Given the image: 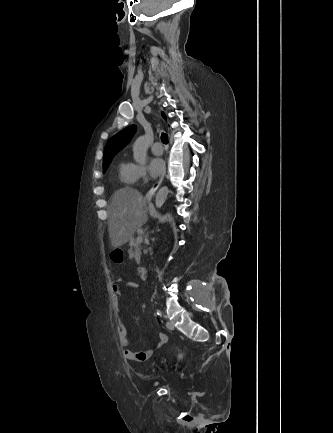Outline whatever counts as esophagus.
Masks as SVG:
<instances>
[{
    "label": "esophagus",
    "mask_w": 333,
    "mask_h": 433,
    "mask_svg": "<svg viewBox=\"0 0 333 433\" xmlns=\"http://www.w3.org/2000/svg\"><path fill=\"white\" fill-rule=\"evenodd\" d=\"M165 172H166V170H164L162 172V174L159 177V179L151 186V188L149 189V191L146 193V196H145L146 200H151L153 198V196L155 195V193L158 191L160 185L162 184V182L164 180Z\"/></svg>",
    "instance_id": "1"
}]
</instances>
